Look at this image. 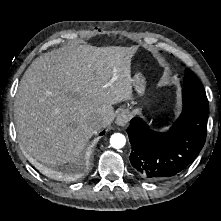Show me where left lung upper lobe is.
<instances>
[{"instance_id": "left-lung-upper-lobe-1", "label": "left lung upper lobe", "mask_w": 221, "mask_h": 221, "mask_svg": "<svg viewBox=\"0 0 221 221\" xmlns=\"http://www.w3.org/2000/svg\"><path fill=\"white\" fill-rule=\"evenodd\" d=\"M183 84L185 89L196 93L206 94L203 85L190 69L185 70Z\"/></svg>"}]
</instances>
